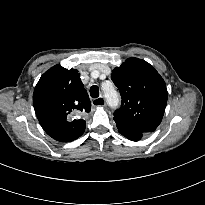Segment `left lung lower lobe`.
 Returning a JSON list of instances; mask_svg holds the SVG:
<instances>
[{
  "mask_svg": "<svg viewBox=\"0 0 205 205\" xmlns=\"http://www.w3.org/2000/svg\"><path fill=\"white\" fill-rule=\"evenodd\" d=\"M116 126L120 134L132 141H139L144 135L147 134L119 122H116Z\"/></svg>",
  "mask_w": 205,
  "mask_h": 205,
  "instance_id": "1",
  "label": "left lung lower lobe"
}]
</instances>
